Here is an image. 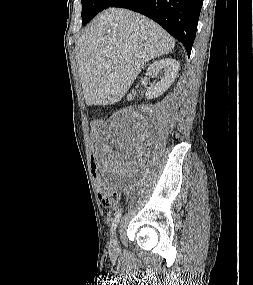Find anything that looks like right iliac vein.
Returning <instances> with one entry per match:
<instances>
[{"label": "right iliac vein", "mask_w": 253, "mask_h": 285, "mask_svg": "<svg viewBox=\"0 0 253 285\" xmlns=\"http://www.w3.org/2000/svg\"><path fill=\"white\" fill-rule=\"evenodd\" d=\"M109 250H110V252L113 253V254L117 253L118 250H119L116 235H114V236L112 237L111 241H110Z\"/></svg>", "instance_id": "63e3f726"}]
</instances>
